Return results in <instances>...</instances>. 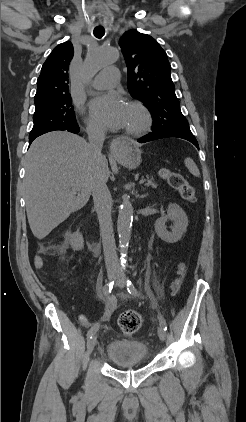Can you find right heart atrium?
<instances>
[{
	"label": "right heart atrium",
	"mask_w": 246,
	"mask_h": 422,
	"mask_svg": "<svg viewBox=\"0 0 246 422\" xmlns=\"http://www.w3.org/2000/svg\"><path fill=\"white\" fill-rule=\"evenodd\" d=\"M86 130L91 135H101L103 134V129L98 124L94 123L91 120L85 119L84 120Z\"/></svg>",
	"instance_id": "right-heart-atrium-1"
}]
</instances>
